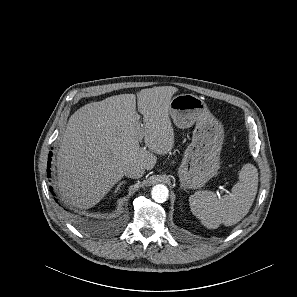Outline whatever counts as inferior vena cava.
Returning <instances> with one entry per match:
<instances>
[{"instance_id": "obj_1", "label": "inferior vena cava", "mask_w": 297, "mask_h": 297, "mask_svg": "<svg viewBox=\"0 0 297 297\" xmlns=\"http://www.w3.org/2000/svg\"><path fill=\"white\" fill-rule=\"evenodd\" d=\"M145 169L137 164L129 165L125 168V176L133 179L140 178L144 175Z\"/></svg>"}]
</instances>
